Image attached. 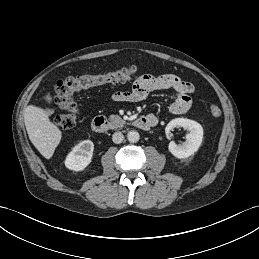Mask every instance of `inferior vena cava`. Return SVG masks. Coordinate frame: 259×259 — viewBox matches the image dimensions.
Segmentation results:
<instances>
[{
  "instance_id": "obj_1",
  "label": "inferior vena cava",
  "mask_w": 259,
  "mask_h": 259,
  "mask_svg": "<svg viewBox=\"0 0 259 259\" xmlns=\"http://www.w3.org/2000/svg\"><path fill=\"white\" fill-rule=\"evenodd\" d=\"M112 140L114 143L119 144L124 140V135L121 132H115L112 135Z\"/></svg>"
}]
</instances>
